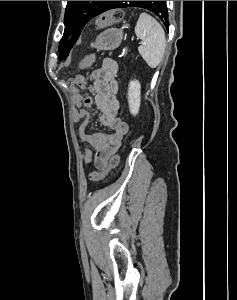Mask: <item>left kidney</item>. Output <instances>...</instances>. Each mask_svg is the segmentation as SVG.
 Here are the masks:
<instances>
[{
	"label": "left kidney",
	"instance_id": "5707ae66",
	"mask_svg": "<svg viewBox=\"0 0 237 300\" xmlns=\"http://www.w3.org/2000/svg\"><path fill=\"white\" fill-rule=\"evenodd\" d=\"M141 85L139 81H130L128 85V93H127V99H128V105H129V111L133 117L135 115H138L139 109H140V91Z\"/></svg>",
	"mask_w": 237,
	"mask_h": 300
}]
</instances>
